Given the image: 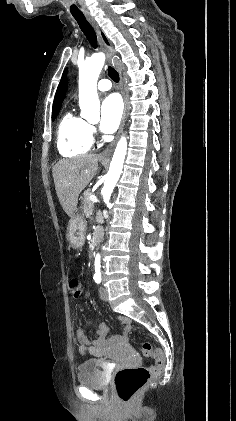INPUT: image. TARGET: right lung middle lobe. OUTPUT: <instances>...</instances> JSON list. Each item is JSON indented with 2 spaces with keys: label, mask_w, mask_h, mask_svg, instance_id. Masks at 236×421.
<instances>
[{
  "label": "right lung middle lobe",
  "mask_w": 236,
  "mask_h": 421,
  "mask_svg": "<svg viewBox=\"0 0 236 421\" xmlns=\"http://www.w3.org/2000/svg\"><path fill=\"white\" fill-rule=\"evenodd\" d=\"M59 110H60V109L55 110V111H53V112H52V120H54V119H55V117L57 116V114H58Z\"/></svg>",
  "instance_id": "obj_1"
}]
</instances>
